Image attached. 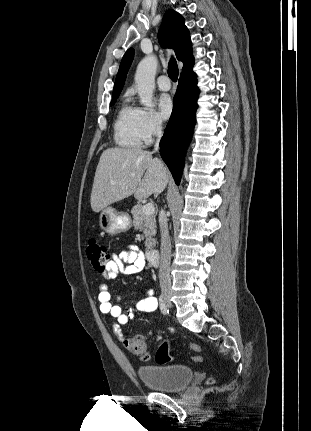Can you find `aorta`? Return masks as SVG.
Wrapping results in <instances>:
<instances>
[{
  "label": "aorta",
  "instance_id": "762f6f07",
  "mask_svg": "<svg viewBox=\"0 0 311 431\" xmlns=\"http://www.w3.org/2000/svg\"><path fill=\"white\" fill-rule=\"evenodd\" d=\"M158 66L156 56H146L139 62L135 74V84L137 86L140 104L154 108L153 92L155 88V74Z\"/></svg>",
  "mask_w": 311,
  "mask_h": 431
}]
</instances>
